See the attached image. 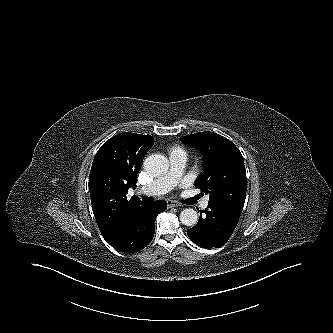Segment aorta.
<instances>
[{
	"label": "aorta",
	"mask_w": 333,
	"mask_h": 333,
	"mask_svg": "<svg viewBox=\"0 0 333 333\" xmlns=\"http://www.w3.org/2000/svg\"><path fill=\"white\" fill-rule=\"evenodd\" d=\"M145 171L153 177L166 174L169 168L168 159L161 154H152L144 160ZM180 221L185 226H194L198 222V214L192 208H186L180 213Z\"/></svg>",
	"instance_id": "aorta-1"
}]
</instances>
